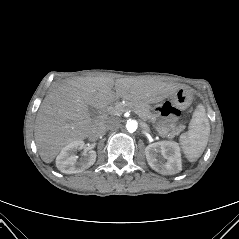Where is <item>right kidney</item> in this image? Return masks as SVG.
Returning <instances> with one entry per match:
<instances>
[{"label": "right kidney", "mask_w": 239, "mask_h": 239, "mask_svg": "<svg viewBox=\"0 0 239 239\" xmlns=\"http://www.w3.org/2000/svg\"><path fill=\"white\" fill-rule=\"evenodd\" d=\"M84 141L77 140L66 145L56 157L57 168L65 174H75L92 166L96 161V152H84V157L78 160L75 155L77 150L84 148Z\"/></svg>", "instance_id": "obj_1"}]
</instances>
